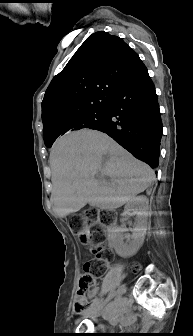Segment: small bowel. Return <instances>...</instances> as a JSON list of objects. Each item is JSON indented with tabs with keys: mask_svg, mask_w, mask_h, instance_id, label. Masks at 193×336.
Wrapping results in <instances>:
<instances>
[{
	"mask_svg": "<svg viewBox=\"0 0 193 336\" xmlns=\"http://www.w3.org/2000/svg\"><path fill=\"white\" fill-rule=\"evenodd\" d=\"M99 292L98 287H94L88 294L89 299H93L95 303V298ZM106 316L110 317L112 320L120 322H132L133 317L126 310V302L120 301L116 307H112L106 311Z\"/></svg>",
	"mask_w": 193,
	"mask_h": 336,
	"instance_id": "c3829d8e",
	"label": "small bowel"
}]
</instances>
